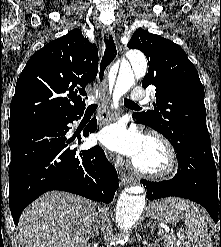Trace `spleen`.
<instances>
[{
  "instance_id": "spleen-1",
  "label": "spleen",
  "mask_w": 221,
  "mask_h": 247,
  "mask_svg": "<svg viewBox=\"0 0 221 247\" xmlns=\"http://www.w3.org/2000/svg\"><path fill=\"white\" fill-rule=\"evenodd\" d=\"M181 209L185 210V225L187 236L193 247H212L210 235L207 233V223L193 203L184 201ZM170 247H174V235L159 232Z\"/></svg>"
}]
</instances>
